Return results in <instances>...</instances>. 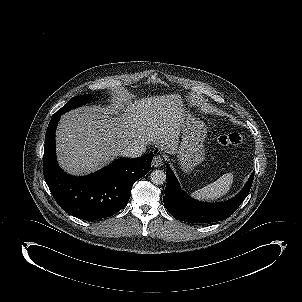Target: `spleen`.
Wrapping results in <instances>:
<instances>
[{"label":"spleen","mask_w":302,"mask_h":302,"mask_svg":"<svg viewBox=\"0 0 302 302\" xmlns=\"http://www.w3.org/2000/svg\"><path fill=\"white\" fill-rule=\"evenodd\" d=\"M233 182V174L226 173L222 175L219 179L206 185L205 187L194 191L191 195L192 197L202 200L210 201L216 200L221 196L225 195L229 190Z\"/></svg>","instance_id":"1"}]
</instances>
